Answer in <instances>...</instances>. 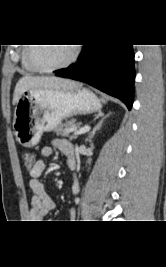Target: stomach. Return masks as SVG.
Returning <instances> with one entry per match:
<instances>
[{
  "instance_id": "obj_1",
  "label": "stomach",
  "mask_w": 166,
  "mask_h": 267,
  "mask_svg": "<svg viewBox=\"0 0 166 267\" xmlns=\"http://www.w3.org/2000/svg\"><path fill=\"white\" fill-rule=\"evenodd\" d=\"M100 100L88 89L28 90L14 110L13 130L24 147L40 142L43 132L57 128L62 120L77 114L100 111Z\"/></svg>"
}]
</instances>
